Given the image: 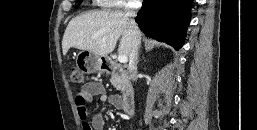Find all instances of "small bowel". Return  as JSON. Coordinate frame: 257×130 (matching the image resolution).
Listing matches in <instances>:
<instances>
[{
  "label": "small bowel",
  "mask_w": 257,
  "mask_h": 130,
  "mask_svg": "<svg viewBox=\"0 0 257 130\" xmlns=\"http://www.w3.org/2000/svg\"><path fill=\"white\" fill-rule=\"evenodd\" d=\"M94 96H98L101 101H108L116 107H119L121 103V98L117 95L109 96L101 83L89 82L84 85L75 96V104L82 120L83 130H104L105 115L103 111L93 116L91 120L88 119V104Z\"/></svg>",
  "instance_id": "1"
}]
</instances>
